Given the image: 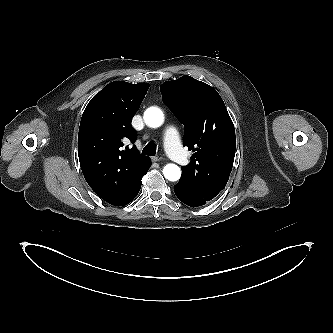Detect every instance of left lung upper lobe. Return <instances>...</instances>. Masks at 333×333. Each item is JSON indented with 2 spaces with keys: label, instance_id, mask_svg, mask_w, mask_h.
Masks as SVG:
<instances>
[{
  "label": "left lung upper lobe",
  "instance_id": "left-lung-upper-lobe-1",
  "mask_svg": "<svg viewBox=\"0 0 333 333\" xmlns=\"http://www.w3.org/2000/svg\"><path fill=\"white\" fill-rule=\"evenodd\" d=\"M160 90L185 125L184 146L194 152L179 181L212 200L225 188L235 156V129L225 104L211 86L190 76L164 82Z\"/></svg>",
  "mask_w": 333,
  "mask_h": 333
}]
</instances>
